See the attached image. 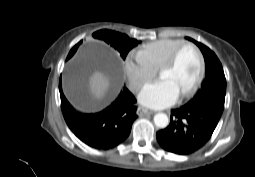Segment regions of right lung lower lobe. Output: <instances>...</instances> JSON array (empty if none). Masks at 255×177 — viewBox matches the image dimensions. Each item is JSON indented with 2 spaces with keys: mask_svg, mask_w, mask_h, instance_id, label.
Here are the masks:
<instances>
[{
  "mask_svg": "<svg viewBox=\"0 0 255 177\" xmlns=\"http://www.w3.org/2000/svg\"><path fill=\"white\" fill-rule=\"evenodd\" d=\"M61 109L71 131L86 145L95 149H111L122 143L130 134L137 118L136 99L123 88L118 98L106 109L98 113L77 112L63 94L59 83Z\"/></svg>",
  "mask_w": 255,
  "mask_h": 177,
  "instance_id": "right-lung-lower-lobe-1",
  "label": "right lung lower lobe"
}]
</instances>
